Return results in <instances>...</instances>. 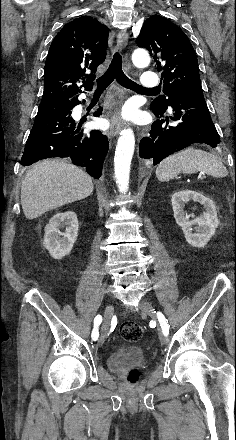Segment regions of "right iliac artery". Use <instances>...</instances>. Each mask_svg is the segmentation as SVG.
<instances>
[{
	"instance_id": "82829eb1",
	"label": "right iliac artery",
	"mask_w": 236,
	"mask_h": 440,
	"mask_svg": "<svg viewBox=\"0 0 236 440\" xmlns=\"http://www.w3.org/2000/svg\"><path fill=\"white\" fill-rule=\"evenodd\" d=\"M102 322V316L101 315H97L94 319V329L92 331V339L93 340H97L99 337V331H98V327Z\"/></svg>"
}]
</instances>
